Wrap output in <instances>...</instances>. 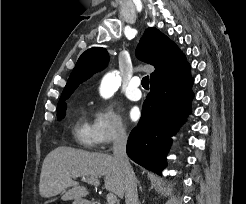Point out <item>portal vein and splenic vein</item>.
<instances>
[{"label": "portal vein and splenic vein", "instance_id": "portal-vein-and-splenic-vein-1", "mask_svg": "<svg viewBox=\"0 0 246 204\" xmlns=\"http://www.w3.org/2000/svg\"><path fill=\"white\" fill-rule=\"evenodd\" d=\"M73 177L77 178V175L73 174ZM82 181L89 184L99 185L98 179L82 178ZM106 199L108 204H115L117 202V197L114 193H108Z\"/></svg>", "mask_w": 246, "mask_h": 204}]
</instances>
